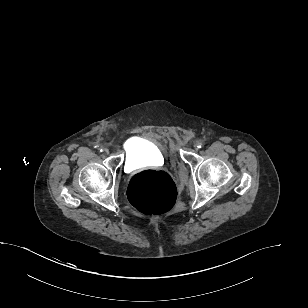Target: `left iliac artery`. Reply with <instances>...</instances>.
I'll return each mask as SVG.
<instances>
[{"label": "left iliac artery", "mask_w": 308, "mask_h": 308, "mask_svg": "<svg viewBox=\"0 0 308 308\" xmlns=\"http://www.w3.org/2000/svg\"><path fill=\"white\" fill-rule=\"evenodd\" d=\"M203 146V143L202 142H199L198 143V148H201Z\"/></svg>", "instance_id": "obj_1"}]
</instances>
